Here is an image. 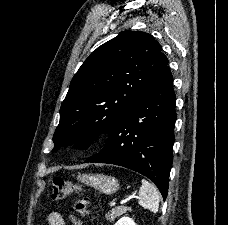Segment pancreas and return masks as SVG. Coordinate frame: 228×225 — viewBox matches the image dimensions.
Returning <instances> with one entry per match:
<instances>
[{
	"label": "pancreas",
	"instance_id": "1",
	"mask_svg": "<svg viewBox=\"0 0 228 225\" xmlns=\"http://www.w3.org/2000/svg\"><path fill=\"white\" fill-rule=\"evenodd\" d=\"M127 211H130L129 207H116V209H111V211H108L106 217V221H114L116 217H120V215H125Z\"/></svg>",
	"mask_w": 228,
	"mask_h": 225
}]
</instances>
